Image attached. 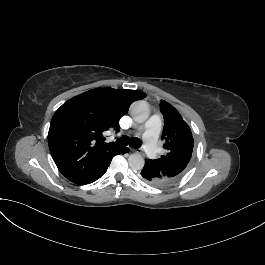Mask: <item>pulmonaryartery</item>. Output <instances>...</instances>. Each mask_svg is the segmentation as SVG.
I'll list each match as a JSON object with an SVG mask.
<instances>
[{
    "label": "pulmonary artery",
    "instance_id": "1",
    "mask_svg": "<svg viewBox=\"0 0 265 265\" xmlns=\"http://www.w3.org/2000/svg\"><path fill=\"white\" fill-rule=\"evenodd\" d=\"M146 128L149 129L145 132V139L142 144V150L144 152L149 153V158L151 160H156L158 158V153L156 152L157 149V135H158V123L154 120H147L146 121Z\"/></svg>",
    "mask_w": 265,
    "mask_h": 265
}]
</instances>
